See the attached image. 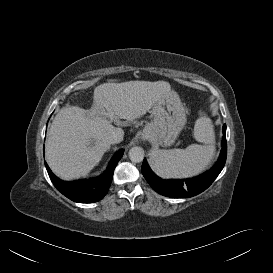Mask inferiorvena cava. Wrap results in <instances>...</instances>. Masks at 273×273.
I'll use <instances>...</instances> for the list:
<instances>
[{"instance_id": "obj_1", "label": "inferior vena cava", "mask_w": 273, "mask_h": 273, "mask_svg": "<svg viewBox=\"0 0 273 273\" xmlns=\"http://www.w3.org/2000/svg\"><path fill=\"white\" fill-rule=\"evenodd\" d=\"M123 130L116 128L109 136L108 139L111 144L120 143L123 140Z\"/></svg>"}]
</instances>
